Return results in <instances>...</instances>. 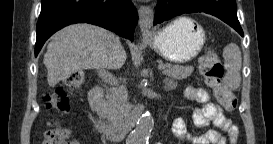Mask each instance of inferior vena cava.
Listing matches in <instances>:
<instances>
[{
    "label": "inferior vena cava",
    "mask_w": 273,
    "mask_h": 144,
    "mask_svg": "<svg viewBox=\"0 0 273 144\" xmlns=\"http://www.w3.org/2000/svg\"><path fill=\"white\" fill-rule=\"evenodd\" d=\"M120 51V41L119 38L111 33V39H110V45L107 52V55L109 57L114 58L116 55H118Z\"/></svg>",
    "instance_id": "602c4592"
}]
</instances>
